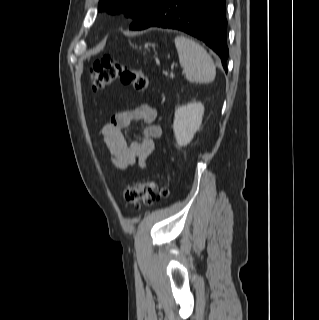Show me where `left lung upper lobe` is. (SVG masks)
I'll use <instances>...</instances> for the list:
<instances>
[{
  "label": "left lung upper lobe",
  "mask_w": 319,
  "mask_h": 320,
  "mask_svg": "<svg viewBox=\"0 0 319 320\" xmlns=\"http://www.w3.org/2000/svg\"><path fill=\"white\" fill-rule=\"evenodd\" d=\"M158 0H100L98 10L111 14L124 12L135 21L150 10Z\"/></svg>",
  "instance_id": "left-lung-upper-lobe-1"
}]
</instances>
